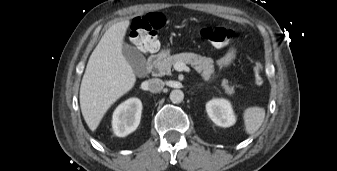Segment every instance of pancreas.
<instances>
[{"label": "pancreas", "instance_id": "pancreas-1", "mask_svg": "<svg viewBox=\"0 0 337 171\" xmlns=\"http://www.w3.org/2000/svg\"><path fill=\"white\" fill-rule=\"evenodd\" d=\"M177 62L192 65L205 81L214 78L213 60L195 53H179L172 56H164L155 64L156 74L158 76L171 75V68ZM221 86L227 95L231 96L233 94L234 87L229 85L228 80L223 79Z\"/></svg>", "mask_w": 337, "mask_h": 171}]
</instances>
